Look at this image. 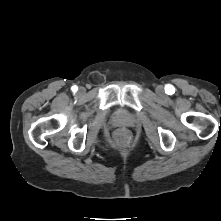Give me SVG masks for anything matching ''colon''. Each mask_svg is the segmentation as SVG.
Masks as SVG:
<instances>
[{
    "label": "colon",
    "instance_id": "colon-1",
    "mask_svg": "<svg viewBox=\"0 0 221 221\" xmlns=\"http://www.w3.org/2000/svg\"><path fill=\"white\" fill-rule=\"evenodd\" d=\"M130 138V133L126 129H119L114 134V142L120 146L127 145L130 142Z\"/></svg>",
    "mask_w": 221,
    "mask_h": 221
}]
</instances>
